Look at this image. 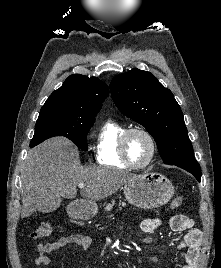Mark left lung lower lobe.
<instances>
[{"instance_id": "0a47b994", "label": "left lung lower lobe", "mask_w": 221, "mask_h": 268, "mask_svg": "<svg viewBox=\"0 0 221 268\" xmlns=\"http://www.w3.org/2000/svg\"><path fill=\"white\" fill-rule=\"evenodd\" d=\"M174 165H176V166H178L180 168H183L186 171L190 172L200 182V180H201V169H200V165L198 164V162L196 160L184 161V162H180V163H177V164H174Z\"/></svg>"}]
</instances>
